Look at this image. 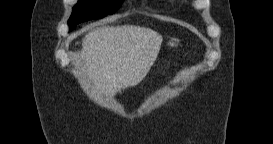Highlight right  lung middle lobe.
<instances>
[{
	"label": "right lung middle lobe",
	"instance_id": "right-lung-middle-lobe-1",
	"mask_svg": "<svg viewBox=\"0 0 273 144\" xmlns=\"http://www.w3.org/2000/svg\"><path fill=\"white\" fill-rule=\"evenodd\" d=\"M122 0H79L74 6L68 24L70 29L83 21L100 19L116 12Z\"/></svg>",
	"mask_w": 273,
	"mask_h": 144
}]
</instances>
